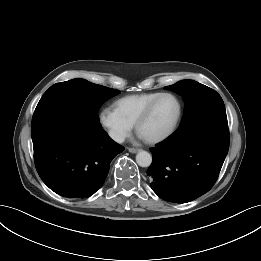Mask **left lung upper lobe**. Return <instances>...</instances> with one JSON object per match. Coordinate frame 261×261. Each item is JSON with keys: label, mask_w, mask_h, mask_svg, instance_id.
<instances>
[{"label": "left lung upper lobe", "mask_w": 261, "mask_h": 261, "mask_svg": "<svg viewBox=\"0 0 261 261\" xmlns=\"http://www.w3.org/2000/svg\"><path fill=\"white\" fill-rule=\"evenodd\" d=\"M165 89L183 97L184 115L177 132L189 130L206 121L226 117L225 106L220 95L213 89L193 80H182Z\"/></svg>", "instance_id": "1"}]
</instances>
